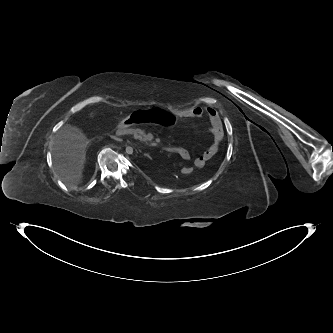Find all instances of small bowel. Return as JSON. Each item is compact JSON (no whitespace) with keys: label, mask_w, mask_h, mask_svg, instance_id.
Instances as JSON below:
<instances>
[{"label":"small bowel","mask_w":333,"mask_h":333,"mask_svg":"<svg viewBox=\"0 0 333 333\" xmlns=\"http://www.w3.org/2000/svg\"><path fill=\"white\" fill-rule=\"evenodd\" d=\"M175 115L177 117V120L197 118V117H207L208 120L210 121L211 129L209 132L213 138V143L205 152H203V154H201L194 160L195 167L202 168L206 164V162L209 161L218 152L219 145L223 138L221 120L219 118V115L213 108H201V107L186 109ZM170 151L177 154L183 160L190 159L189 151L183 147H172Z\"/></svg>","instance_id":"small-bowel-1"}]
</instances>
